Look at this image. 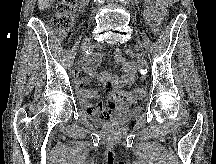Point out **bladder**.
<instances>
[{"mask_svg":"<svg viewBox=\"0 0 216 164\" xmlns=\"http://www.w3.org/2000/svg\"><path fill=\"white\" fill-rule=\"evenodd\" d=\"M140 111L139 108L131 106H123L115 110L112 117L98 121L97 124L104 126H120L126 124L129 119Z\"/></svg>","mask_w":216,"mask_h":164,"instance_id":"bladder-1","label":"bladder"}]
</instances>
